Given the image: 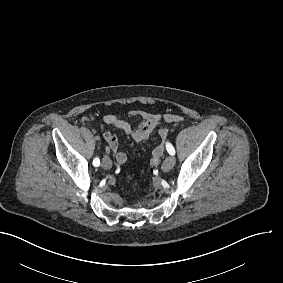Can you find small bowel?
I'll return each mask as SVG.
<instances>
[{"label":"small bowel","mask_w":283,"mask_h":283,"mask_svg":"<svg viewBox=\"0 0 283 283\" xmlns=\"http://www.w3.org/2000/svg\"><path fill=\"white\" fill-rule=\"evenodd\" d=\"M129 119H136L139 124L133 126L130 122L115 114H106L102 118V125H109L117 128L129 135L135 142L147 140L155 131L162 128L163 123L181 122L183 118L177 114L163 115L143 110H132L128 113ZM104 139L110 150L113 152L116 162L124 165L127 161V155L119 150V140L115 133L105 132Z\"/></svg>","instance_id":"small-bowel-1"}]
</instances>
